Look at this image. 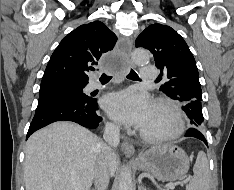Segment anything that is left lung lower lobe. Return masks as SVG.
<instances>
[{"label": "left lung lower lobe", "mask_w": 234, "mask_h": 190, "mask_svg": "<svg viewBox=\"0 0 234 190\" xmlns=\"http://www.w3.org/2000/svg\"><path fill=\"white\" fill-rule=\"evenodd\" d=\"M185 136L197 138L199 140H202L206 145H208L204 135L202 134L201 130L198 128L195 127L189 128Z\"/></svg>", "instance_id": "obj_1"}]
</instances>
